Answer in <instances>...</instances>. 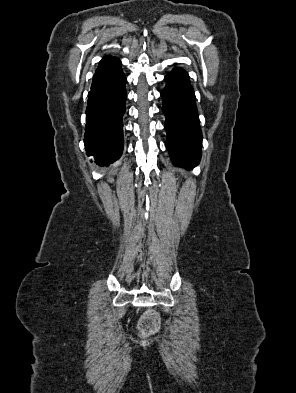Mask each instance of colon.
<instances>
[{"mask_svg": "<svg viewBox=\"0 0 296 393\" xmlns=\"http://www.w3.org/2000/svg\"><path fill=\"white\" fill-rule=\"evenodd\" d=\"M160 317L155 310H147L139 319L138 331L142 336H150L160 328Z\"/></svg>", "mask_w": 296, "mask_h": 393, "instance_id": "colon-1", "label": "colon"}]
</instances>
